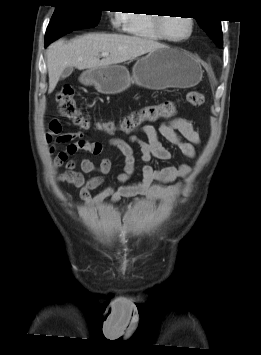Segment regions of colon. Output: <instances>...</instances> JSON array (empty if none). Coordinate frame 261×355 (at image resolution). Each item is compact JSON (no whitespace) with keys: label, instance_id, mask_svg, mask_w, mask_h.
Instances as JSON below:
<instances>
[{"label":"colon","instance_id":"colon-1","mask_svg":"<svg viewBox=\"0 0 261 355\" xmlns=\"http://www.w3.org/2000/svg\"><path fill=\"white\" fill-rule=\"evenodd\" d=\"M59 105V113L72 125L84 130L95 129L107 134L122 132L130 134L139 130L143 125L157 120H169L174 117L177 107L173 101H164L154 105L144 106L126 116L119 124L103 122L93 124L84 114L74 98V89L71 86H64L56 95ZM186 101L193 107H200L205 103V96L199 91H190L186 95ZM51 128L58 130L56 122Z\"/></svg>","mask_w":261,"mask_h":355}]
</instances>
